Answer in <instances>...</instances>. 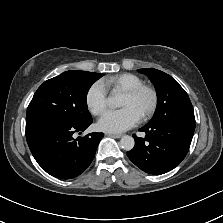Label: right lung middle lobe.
<instances>
[{"label":"right lung middle lobe","instance_id":"dd1d6c3e","mask_svg":"<svg viewBox=\"0 0 223 223\" xmlns=\"http://www.w3.org/2000/svg\"><path fill=\"white\" fill-rule=\"evenodd\" d=\"M102 74L70 70L37 89L26 114V130L50 124L83 125L92 120L87 93Z\"/></svg>","mask_w":223,"mask_h":223}]
</instances>
